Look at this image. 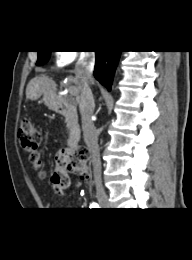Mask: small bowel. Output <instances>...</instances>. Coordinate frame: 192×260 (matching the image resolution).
<instances>
[{
	"instance_id": "obj_1",
	"label": "small bowel",
	"mask_w": 192,
	"mask_h": 260,
	"mask_svg": "<svg viewBox=\"0 0 192 260\" xmlns=\"http://www.w3.org/2000/svg\"><path fill=\"white\" fill-rule=\"evenodd\" d=\"M45 206H46L47 208H49V207L51 206V198H50V197H48V199L46 200Z\"/></svg>"
}]
</instances>
